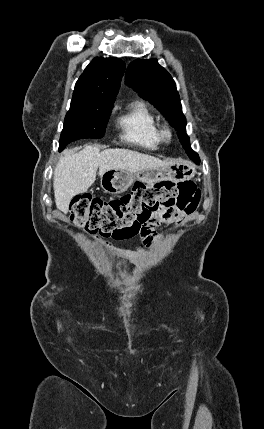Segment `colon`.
<instances>
[{"label":"colon","mask_w":264,"mask_h":429,"mask_svg":"<svg viewBox=\"0 0 264 429\" xmlns=\"http://www.w3.org/2000/svg\"><path fill=\"white\" fill-rule=\"evenodd\" d=\"M200 197V190L191 182L136 183L131 192L111 200L76 196L71 203L70 221L93 235L128 237L155 215L175 209L192 214Z\"/></svg>","instance_id":"1"}]
</instances>
